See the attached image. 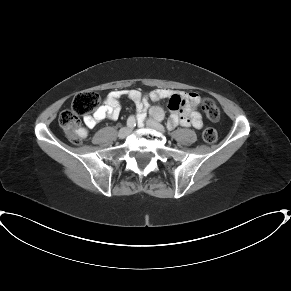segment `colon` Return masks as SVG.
I'll return each mask as SVG.
<instances>
[{
	"instance_id": "colon-1",
	"label": "colon",
	"mask_w": 291,
	"mask_h": 291,
	"mask_svg": "<svg viewBox=\"0 0 291 291\" xmlns=\"http://www.w3.org/2000/svg\"><path fill=\"white\" fill-rule=\"evenodd\" d=\"M99 104V96L96 92L88 90L76 94L72 100L71 106L63 110L59 115V125L66 132L70 141L79 145L82 137L79 135L80 124L79 117L90 114ZM204 113L213 121L220 117V110L215 101L211 98L203 99L201 103ZM170 109H175V103L169 104ZM203 140L206 143H214L217 139V132L213 128H207L203 131Z\"/></svg>"
}]
</instances>
